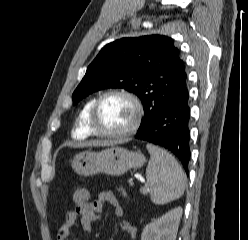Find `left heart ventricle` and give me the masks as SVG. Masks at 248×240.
<instances>
[{
  "label": "left heart ventricle",
  "instance_id": "left-heart-ventricle-1",
  "mask_svg": "<svg viewBox=\"0 0 248 240\" xmlns=\"http://www.w3.org/2000/svg\"><path fill=\"white\" fill-rule=\"evenodd\" d=\"M134 118L132 104L121 96L106 98L98 112L97 126L103 132L114 133L128 128Z\"/></svg>",
  "mask_w": 248,
  "mask_h": 240
}]
</instances>
